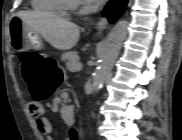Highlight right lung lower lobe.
<instances>
[{"mask_svg": "<svg viewBox=\"0 0 182 140\" xmlns=\"http://www.w3.org/2000/svg\"><path fill=\"white\" fill-rule=\"evenodd\" d=\"M128 0H110L104 10V15L109 17L111 22L115 21L124 11Z\"/></svg>", "mask_w": 182, "mask_h": 140, "instance_id": "98d812e1", "label": "right lung lower lobe"}]
</instances>
